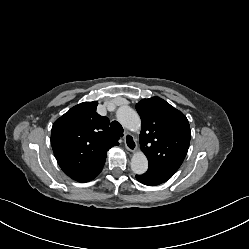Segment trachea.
I'll return each mask as SVG.
<instances>
[{
	"label": "trachea",
	"mask_w": 249,
	"mask_h": 249,
	"mask_svg": "<svg viewBox=\"0 0 249 249\" xmlns=\"http://www.w3.org/2000/svg\"><path fill=\"white\" fill-rule=\"evenodd\" d=\"M110 130H111L114 134H116V135H118V136H120V137L123 136V128H122V126L119 124V122H117V121H112V122H111V124H110Z\"/></svg>",
	"instance_id": "1"
}]
</instances>
